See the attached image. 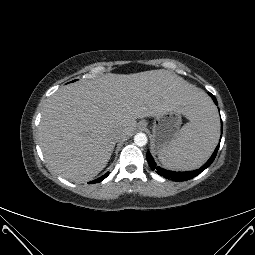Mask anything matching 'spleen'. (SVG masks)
Listing matches in <instances>:
<instances>
[{
    "label": "spleen",
    "instance_id": "obj_1",
    "mask_svg": "<svg viewBox=\"0 0 255 255\" xmlns=\"http://www.w3.org/2000/svg\"><path fill=\"white\" fill-rule=\"evenodd\" d=\"M219 116L208 100L201 99L190 118L169 145L160 149L158 159L171 170H192L206 162L219 139Z\"/></svg>",
    "mask_w": 255,
    "mask_h": 255
}]
</instances>
